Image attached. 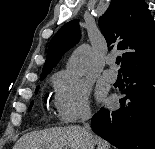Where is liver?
Wrapping results in <instances>:
<instances>
[{"instance_id": "liver-1", "label": "liver", "mask_w": 155, "mask_h": 149, "mask_svg": "<svg viewBox=\"0 0 155 149\" xmlns=\"http://www.w3.org/2000/svg\"><path fill=\"white\" fill-rule=\"evenodd\" d=\"M98 149H110V144L91 133ZM13 149H92L88 132L80 126L56 127L23 135Z\"/></svg>"}]
</instances>
